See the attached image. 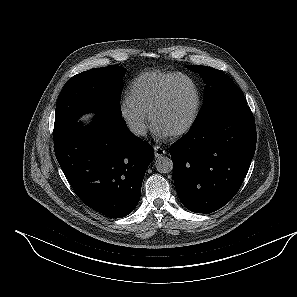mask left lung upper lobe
I'll return each mask as SVG.
<instances>
[{
  "label": "left lung upper lobe",
  "instance_id": "obj_1",
  "mask_svg": "<svg viewBox=\"0 0 297 297\" xmlns=\"http://www.w3.org/2000/svg\"><path fill=\"white\" fill-rule=\"evenodd\" d=\"M186 68L197 72L206 85L204 104L193 126L202 124L205 118H214L228 108L247 104L238 87L224 72L200 65H186Z\"/></svg>",
  "mask_w": 297,
  "mask_h": 297
}]
</instances>
